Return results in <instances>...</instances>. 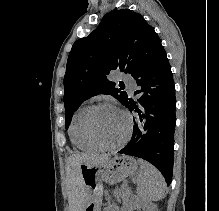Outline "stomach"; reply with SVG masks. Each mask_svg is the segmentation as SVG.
Here are the masks:
<instances>
[{"mask_svg": "<svg viewBox=\"0 0 219 211\" xmlns=\"http://www.w3.org/2000/svg\"><path fill=\"white\" fill-rule=\"evenodd\" d=\"M138 163L128 156H113L97 165H80V173L87 189V202L83 211H98L102 182L115 184L136 172Z\"/></svg>", "mask_w": 219, "mask_h": 211, "instance_id": "obj_1", "label": "stomach"}]
</instances>
